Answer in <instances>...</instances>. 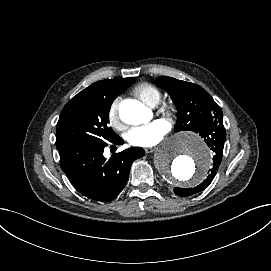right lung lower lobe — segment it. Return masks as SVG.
Segmentation results:
<instances>
[{
    "instance_id": "right-lung-lower-lobe-1",
    "label": "right lung lower lobe",
    "mask_w": 271,
    "mask_h": 271,
    "mask_svg": "<svg viewBox=\"0 0 271 271\" xmlns=\"http://www.w3.org/2000/svg\"><path fill=\"white\" fill-rule=\"evenodd\" d=\"M111 142L123 144L118 135L111 141H80L58 149L61 169L72 185L85 197L101 202L115 199L128 180L131 164L145 155L142 148H129L103 156L104 148Z\"/></svg>"
}]
</instances>
